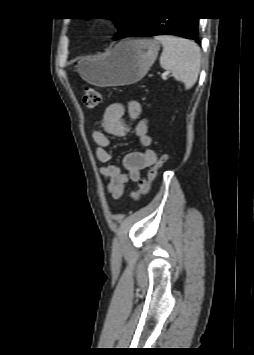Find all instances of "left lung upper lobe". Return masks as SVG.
Returning a JSON list of instances; mask_svg holds the SVG:
<instances>
[{"label":"left lung upper lobe","mask_w":254,"mask_h":355,"mask_svg":"<svg viewBox=\"0 0 254 355\" xmlns=\"http://www.w3.org/2000/svg\"><path fill=\"white\" fill-rule=\"evenodd\" d=\"M115 21L118 33L115 35L114 40L124 36L135 24L137 18H110Z\"/></svg>","instance_id":"1"}]
</instances>
